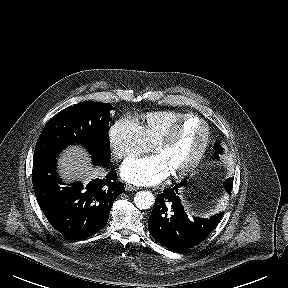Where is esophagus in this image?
<instances>
[{"label":"esophagus","mask_w":288,"mask_h":288,"mask_svg":"<svg viewBox=\"0 0 288 288\" xmlns=\"http://www.w3.org/2000/svg\"><path fill=\"white\" fill-rule=\"evenodd\" d=\"M126 191H137L139 188L130 184L125 186Z\"/></svg>","instance_id":"obj_1"}]
</instances>
